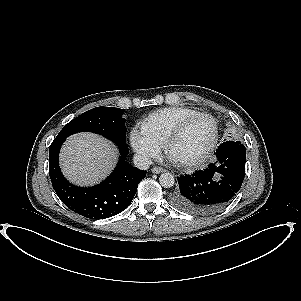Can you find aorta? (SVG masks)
<instances>
[{
	"mask_svg": "<svg viewBox=\"0 0 301 301\" xmlns=\"http://www.w3.org/2000/svg\"><path fill=\"white\" fill-rule=\"evenodd\" d=\"M159 183L164 188H171L175 183V178L171 173L165 172L160 175Z\"/></svg>",
	"mask_w": 301,
	"mask_h": 301,
	"instance_id": "obj_1",
	"label": "aorta"
}]
</instances>
